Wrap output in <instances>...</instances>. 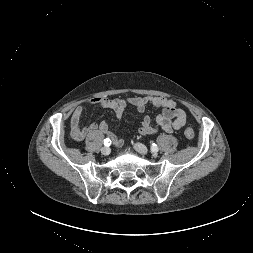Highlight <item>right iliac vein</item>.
I'll return each mask as SVG.
<instances>
[{
    "mask_svg": "<svg viewBox=\"0 0 253 253\" xmlns=\"http://www.w3.org/2000/svg\"><path fill=\"white\" fill-rule=\"evenodd\" d=\"M110 152H111V150H110L109 147H103V148L101 149V153H102L103 155H105V156H108V155L110 154Z\"/></svg>",
    "mask_w": 253,
    "mask_h": 253,
    "instance_id": "right-iliac-vein-1",
    "label": "right iliac vein"
}]
</instances>
